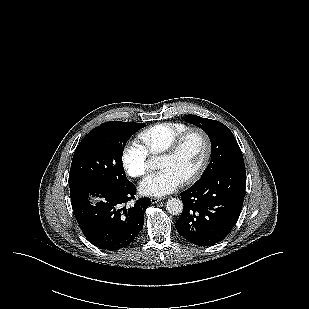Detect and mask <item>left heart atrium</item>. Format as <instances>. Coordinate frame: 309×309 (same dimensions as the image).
<instances>
[{"label":"left heart atrium","mask_w":309,"mask_h":309,"mask_svg":"<svg viewBox=\"0 0 309 309\" xmlns=\"http://www.w3.org/2000/svg\"><path fill=\"white\" fill-rule=\"evenodd\" d=\"M183 179L172 169H162L148 175L139 185V191L146 196L162 197L176 191Z\"/></svg>","instance_id":"left-heart-atrium-1"}]
</instances>
